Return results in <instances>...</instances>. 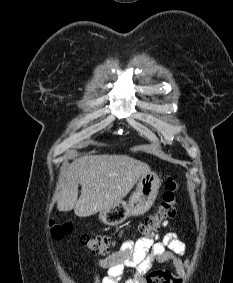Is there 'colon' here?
<instances>
[{
    "label": "colon",
    "instance_id": "colon-1",
    "mask_svg": "<svg viewBox=\"0 0 233 283\" xmlns=\"http://www.w3.org/2000/svg\"><path fill=\"white\" fill-rule=\"evenodd\" d=\"M165 186L166 190L163 194V199L158 211L154 215L147 217L138 227V233L142 237L152 236L159 230L162 223L166 220L175 218L177 215L178 204L176 193L179 188L178 182L174 178L168 177ZM49 228L51 235L54 238H61L73 230V226L69 222L57 223L51 221ZM79 241L84 247L96 255H108L115 245L112 238L106 235L83 233L79 235Z\"/></svg>",
    "mask_w": 233,
    "mask_h": 283
}]
</instances>
